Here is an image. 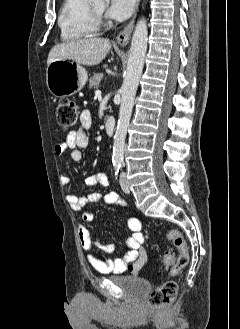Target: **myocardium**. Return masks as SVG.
I'll return each mask as SVG.
<instances>
[{"label":"myocardium","instance_id":"myocardium-1","mask_svg":"<svg viewBox=\"0 0 240 329\" xmlns=\"http://www.w3.org/2000/svg\"><path fill=\"white\" fill-rule=\"evenodd\" d=\"M92 14L95 18V21L99 26L103 25V15L102 12L98 11L94 6H92Z\"/></svg>","mask_w":240,"mask_h":329}]
</instances>
